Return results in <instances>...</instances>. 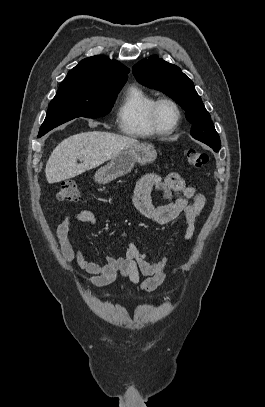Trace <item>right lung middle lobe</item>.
<instances>
[{"label": "right lung middle lobe", "mask_w": 265, "mask_h": 407, "mask_svg": "<svg viewBox=\"0 0 265 407\" xmlns=\"http://www.w3.org/2000/svg\"><path fill=\"white\" fill-rule=\"evenodd\" d=\"M124 84L63 80L49 104L39 135L77 117H103L112 109Z\"/></svg>", "instance_id": "right-lung-middle-lobe-1"}]
</instances>
